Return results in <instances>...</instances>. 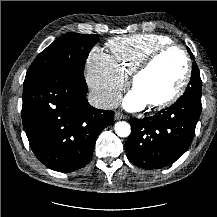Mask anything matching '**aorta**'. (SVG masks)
I'll return each instance as SVG.
<instances>
[{
	"instance_id": "obj_1",
	"label": "aorta",
	"mask_w": 217,
	"mask_h": 217,
	"mask_svg": "<svg viewBox=\"0 0 217 217\" xmlns=\"http://www.w3.org/2000/svg\"><path fill=\"white\" fill-rule=\"evenodd\" d=\"M115 132L119 137H128L131 133L130 124L125 121H120L116 123Z\"/></svg>"
}]
</instances>
